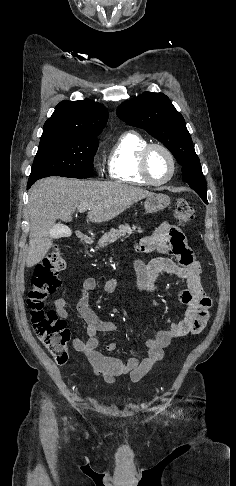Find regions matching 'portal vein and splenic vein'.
<instances>
[{"label":"portal vein and splenic vein","mask_w":236,"mask_h":486,"mask_svg":"<svg viewBox=\"0 0 236 486\" xmlns=\"http://www.w3.org/2000/svg\"><path fill=\"white\" fill-rule=\"evenodd\" d=\"M86 210H87L86 208H81V209H79V212H80V213H83V212H85Z\"/></svg>","instance_id":"1"}]
</instances>
